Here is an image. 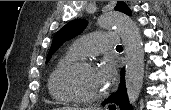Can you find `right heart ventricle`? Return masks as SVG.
Masks as SVG:
<instances>
[{"label":"right heart ventricle","mask_w":171,"mask_h":110,"mask_svg":"<svg viewBox=\"0 0 171 110\" xmlns=\"http://www.w3.org/2000/svg\"><path fill=\"white\" fill-rule=\"evenodd\" d=\"M81 56L70 48L64 55H62L55 66L53 67L47 82V87L51 97L60 103H69L72 101L65 95L58 86V74L61 69L70 62L79 60Z\"/></svg>","instance_id":"1"}]
</instances>
